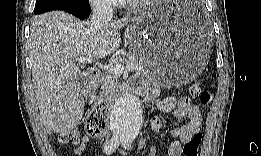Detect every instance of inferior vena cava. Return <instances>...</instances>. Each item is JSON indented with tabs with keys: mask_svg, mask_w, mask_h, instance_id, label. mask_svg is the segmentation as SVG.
Listing matches in <instances>:
<instances>
[{
	"mask_svg": "<svg viewBox=\"0 0 261 156\" xmlns=\"http://www.w3.org/2000/svg\"><path fill=\"white\" fill-rule=\"evenodd\" d=\"M92 9V26L97 29H102L111 22L113 18V8L110 0H95L92 2Z\"/></svg>",
	"mask_w": 261,
	"mask_h": 156,
	"instance_id": "inferior-vena-cava-1",
	"label": "inferior vena cava"
}]
</instances>
